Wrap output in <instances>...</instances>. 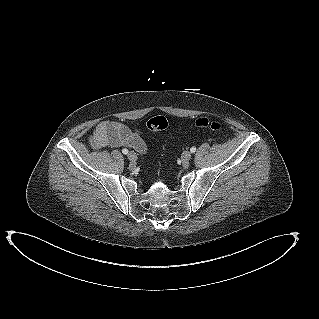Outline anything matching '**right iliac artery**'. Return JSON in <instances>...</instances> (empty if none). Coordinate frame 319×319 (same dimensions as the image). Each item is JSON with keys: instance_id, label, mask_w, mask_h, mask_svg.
I'll list each match as a JSON object with an SVG mask.
<instances>
[{"instance_id": "obj_1", "label": "right iliac artery", "mask_w": 319, "mask_h": 319, "mask_svg": "<svg viewBox=\"0 0 319 319\" xmlns=\"http://www.w3.org/2000/svg\"><path fill=\"white\" fill-rule=\"evenodd\" d=\"M123 154H128V150L125 148L122 150Z\"/></svg>"}]
</instances>
